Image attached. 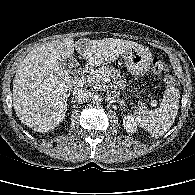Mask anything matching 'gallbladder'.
I'll return each instance as SVG.
<instances>
[{
	"instance_id": "gallbladder-1",
	"label": "gallbladder",
	"mask_w": 195,
	"mask_h": 195,
	"mask_svg": "<svg viewBox=\"0 0 195 195\" xmlns=\"http://www.w3.org/2000/svg\"><path fill=\"white\" fill-rule=\"evenodd\" d=\"M60 64L62 65V67L66 70H68L69 72H76L78 71L79 68V63L77 62V60L74 57L68 58V59H61Z\"/></svg>"
}]
</instances>
